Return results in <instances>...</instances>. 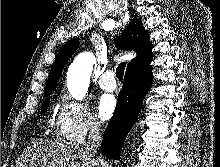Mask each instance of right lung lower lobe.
<instances>
[{
  "mask_svg": "<svg viewBox=\"0 0 220 167\" xmlns=\"http://www.w3.org/2000/svg\"><path fill=\"white\" fill-rule=\"evenodd\" d=\"M151 78L150 64L126 71L115 113L103 136L102 151L107 158L120 159L125 138L138 118L142 99L151 85Z\"/></svg>",
  "mask_w": 220,
  "mask_h": 167,
  "instance_id": "obj_1",
  "label": "right lung lower lobe"
}]
</instances>
